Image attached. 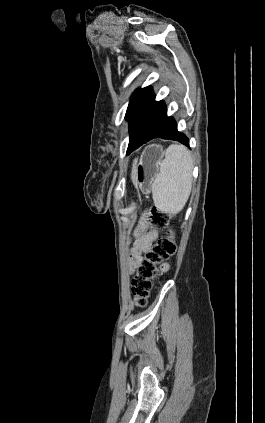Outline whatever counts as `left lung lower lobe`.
Instances as JSON below:
<instances>
[{
    "label": "left lung lower lobe",
    "mask_w": 265,
    "mask_h": 423,
    "mask_svg": "<svg viewBox=\"0 0 265 423\" xmlns=\"http://www.w3.org/2000/svg\"><path fill=\"white\" fill-rule=\"evenodd\" d=\"M128 122V154L153 138L172 139L189 146L188 138L177 130L174 118L167 116L165 103L155 101L151 87L138 90L128 113Z\"/></svg>",
    "instance_id": "obj_1"
}]
</instances>
